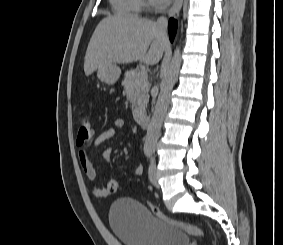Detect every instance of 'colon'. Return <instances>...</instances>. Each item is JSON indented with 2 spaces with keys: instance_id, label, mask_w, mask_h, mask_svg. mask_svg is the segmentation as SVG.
Masks as SVG:
<instances>
[{
  "instance_id": "5ec220e1",
  "label": "colon",
  "mask_w": 283,
  "mask_h": 245,
  "mask_svg": "<svg viewBox=\"0 0 283 245\" xmlns=\"http://www.w3.org/2000/svg\"><path fill=\"white\" fill-rule=\"evenodd\" d=\"M93 127L90 118L87 115H82L79 118V127L77 131V143L79 145L85 144L92 139ZM107 194H113L118 189V182L116 179H110L106 185ZM151 210L155 216L167 222L168 224L185 231L193 236L203 237L204 231L191 223L180 221L164 214L158 207L151 206Z\"/></svg>"
}]
</instances>
